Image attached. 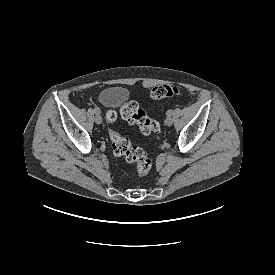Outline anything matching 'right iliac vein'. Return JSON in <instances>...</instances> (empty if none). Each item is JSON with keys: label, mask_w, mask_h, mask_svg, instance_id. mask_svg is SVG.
<instances>
[{"label": "right iliac vein", "mask_w": 275, "mask_h": 275, "mask_svg": "<svg viewBox=\"0 0 275 275\" xmlns=\"http://www.w3.org/2000/svg\"><path fill=\"white\" fill-rule=\"evenodd\" d=\"M94 120H95V122L97 124H101L102 123V117L100 115V112H96Z\"/></svg>", "instance_id": "1"}]
</instances>
